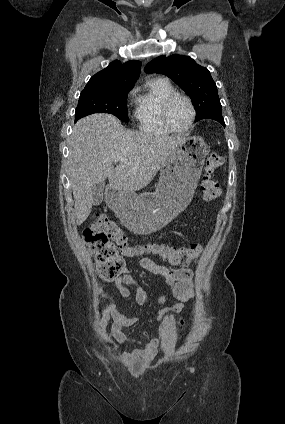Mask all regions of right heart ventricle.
<instances>
[{
    "mask_svg": "<svg viewBox=\"0 0 285 424\" xmlns=\"http://www.w3.org/2000/svg\"><path fill=\"white\" fill-rule=\"evenodd\" d=\"M134 117L139 129L147 134L166 136L171 131L162 120L164 102L176 94L175 88L164 78H155L136 89Z\"/></svg>",
    "mask_w": 285,
    "mask_h": 424,
    "instance_id": "e07e8e85",
    "label": "right heart ventricle"
}]
</instances>
